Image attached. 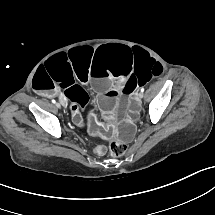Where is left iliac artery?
I'll use <instances>...</instances> for the list:
<instances>
[{
    "label": "left iliac artery",
    "instance_id": "obj_1",
    "mask_svg": "<svg viewBox=\"0 0 215 215\" xmlns=\"http://www.w3.org/2000/svg\"><path fill=\"white\" fill-rule=\"evenodd\" d=\"M141 92H144V88H141Z\"/></svg>",
    "mask_w": 215,
    "mask_h": 215
}]
</instances>
